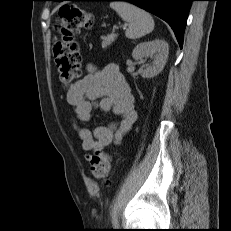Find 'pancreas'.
Returning a JSON list of instances; mask_svg holds the SVG:
<instances>
[{
	"mask_svg": "<svg viewBox=\"0 0 231 231\" xmlns=\"http://www.w3.org/2000/svg\"><path fill=\"white\" fill-rule=\"evenodd\" d=\"M117 34H114V33H112V34H109V35H107V36H102L101 38H102V48H106L107 46H109V45H111L112 44V42H114L115 41V39L117 38Z\"/></svg>",
	"mask_w": 231,
	"mask_h": 231,
	"instance_id": "cf45deb5",
	"label": "pancreas"
}]
</instances>
